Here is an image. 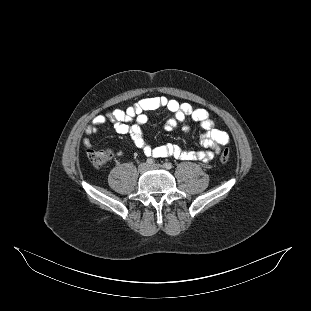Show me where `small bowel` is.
Segmentation results:
<instances>
[{
	"label": "small bowel",
	"mask_w": 311,
	"mask_h": 311,
	"mask_svg": "<svg viewBox=\"0 0 311 311\" xmlns=\"http://www.w3.org/2000/svg\"><path fill=\"white\" fill-rule=\"evenodd\" d=\"M158 109H166L172 114L164 124L166 131L174 130L187 119L198 123L204 130L199 142L207 150L186 151L176 144L152 147L143 134L142 126L147 122L145 113ZM107 122H112L117 133L128 135L137 148L146 156L153 158L172 156L181 160L209 163L220 152L221 146L229 142V135L215 127L208 111L193 108L188 103H180L164 96L143 98L125 110L115 109L112 112L95 116L85 129L86 137L83 143L87 148H92L93 139L99 127ZM184 129L188 130V126H184Z\"/></svg>",
	"instance_id": "obj_1"
}]
</instances>
